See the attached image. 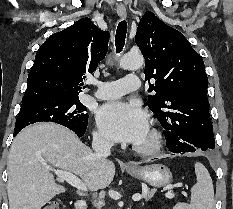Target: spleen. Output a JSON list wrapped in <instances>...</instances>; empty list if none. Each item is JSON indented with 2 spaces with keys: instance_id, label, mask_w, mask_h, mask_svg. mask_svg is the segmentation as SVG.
Returning a JSON list of instances; mask_svg holds the SVG:
<instances>
[{
  "instance_id": "1",
  "label": "spleen",
  "mask_w": 233,
  "mask_h": 209,
  "mask_svg": "<svg viewBox=\"0 0 233 209\" xmlns=\"http://www.w3.org/2000/svg\"><path fill=\"white\" fill-rule=\"evenodd\" d=\"M196 184L191 188L190 204L178 203L173 209H215L214 188L208 170L195 163Z\"/></svg>"
}]
</instances>
